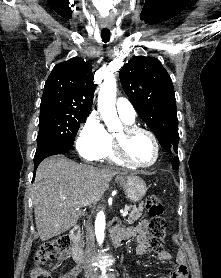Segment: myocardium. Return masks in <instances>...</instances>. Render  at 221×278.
<instances>
[{"mask_svg":"<svg viewBox=\"0 0 221 278\" xmlns=\"http://www.w3.org/2000/svg\"><path fill=\"white\" fill-rule=\"evenodd\" d=\"M137 132L146 133L153 142V145L155 148V157H154V160L150 164L141 165V164H136V163L132 162L125 154L124 141L121 139H118L117 137L113 138V143H112L113 153L120 162L126 164L129 167H132L135 169L151 168L158 162V160L160 158V145H159L158 139L151 130L144 128V127H140V126H136V125H127L123 128V133H124L125 138H127Z\"/></svg>","mask_w":221,"mask_h":278,"instance_id":"obj_1","label":"myocardium"}]
</instances>
